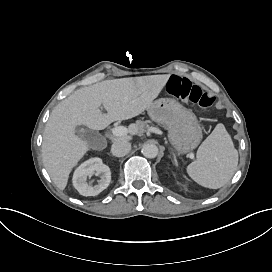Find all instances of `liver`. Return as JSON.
Masks as SVG:
<instances>
[{
    "instance_id": "obj_1",
    "label": "liver",
    "mask_w": 272,
    "mask_h": 272,
    "mask_svg": "<svg viewBox=\"0 0 272 272\" xmlns=\"http://www.w3.org/2000/svg\"><path fill=\"white\" fill-rule=\"evenodd\" d=\"M170 75H151L104 80L76 90L51 112L43 133L42 159L52 181L64 190L69 174L88 151V143L78 137L76 127L85 125L103 130L114 121L141 114L161 92ZM103 104L107 113L99 110ZM136 124L129 125L131 135L138 133ZM131 136L114 138L129 141Z\"/></svg>"
}]
</instances>
